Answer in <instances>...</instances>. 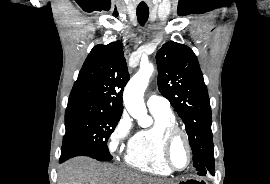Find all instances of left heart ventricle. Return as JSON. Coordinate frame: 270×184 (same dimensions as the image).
Here are the masks:
<instances>
[{"instance_id": "1", "label": "left heart ventricle", "mask_w": 270, "mask_h": 184, "mask_svg": "<svg viewBox=\"0 0 270 184\" xmlns=\"http://www.w3.org/2000/svg\"><path fill=\"white\" fill-rule=\"evenodd\" d=\"M170 160L177 168H183L188 162V152L182 137H177L171 146Z\"/></svg>"}]
</instances>
